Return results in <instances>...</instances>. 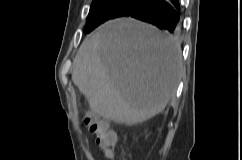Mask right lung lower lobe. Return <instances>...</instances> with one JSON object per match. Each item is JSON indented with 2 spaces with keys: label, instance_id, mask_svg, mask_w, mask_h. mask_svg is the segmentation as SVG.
<instances>
[{
  "label": "right lung lower lobe",
  "instance_id": "1",
  "mask_svg": "<svg viewBox=\"0 0 242 160\" xmlns=\"http://www.w3.org/2000/svg\"><path fill=\"white\" fill-rule=\"evenodd\" d=\"M125 16L150 23L171 34H178L181 29L178 0H145Z\"/></svg>",
  "mask_w": 242,
  "mask_h": 160
}]
</instances>
